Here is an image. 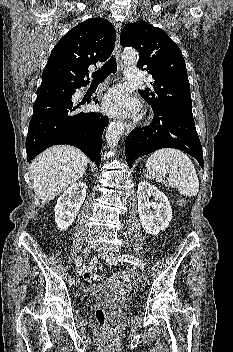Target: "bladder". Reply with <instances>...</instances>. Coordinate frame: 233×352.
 I'll return each mask as SVG.
<instances>
[{
    "label": "bladder",
    "instance_id": "bladder-1",
    "mask_svg": "<svg viewBox=\"0 0 233 352\" xmlns=\"http://www.w3.org/2000/svg\"><path fill=\"white\" fill-rule=\"evenodd\" d=\"M87 300L88 302L113 303L123 307L129 306L133 303V298L130 295H119L102 287L93 289Z\"/></svg>",
    "mask_w": 233,
    "mask_h": 352
}]
</instances>
